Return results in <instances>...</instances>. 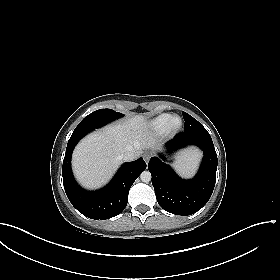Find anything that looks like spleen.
Instances as JSON below:
<instances>
[{"instance_id":"obj_1","label":"spleen","mask_w":280,"mask_h":280,"mask_svg":"<svg viewBox=\"0 0 280 280\" xmlns=\"http://www.w3.org/2000/svg\"><path fill=\"white\" fill-rule=\"evenodd\" d=\"M197 159V155L182 157L175 163L174 166L181 175L191 176L196 169Z\"/></svg>"}]
</instances>
